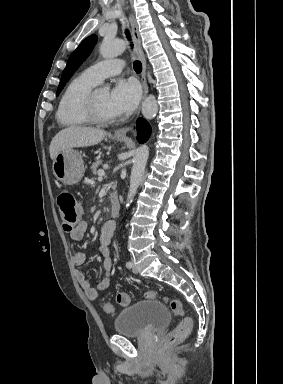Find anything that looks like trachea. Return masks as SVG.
Segmentation results:
<instances>
[{"label":"trachea","mask_w":283,"mask_h":384,"mask_svg":"<svg viewBox=\"0 0 283 384\" xmlns=\"http://www.w3.org/2000/svg\"><path fill=\"white\" fill-rule=\"evenodd\" d=\"M125 35L127 40L130 42V47L133 49V42L131 39V34L128 29L125 30ZM133 68L136 73H141L142 72V63L139 60H135L133 62Z\"/></svg>","instance_id":"trachea-1"}]
</instances>
